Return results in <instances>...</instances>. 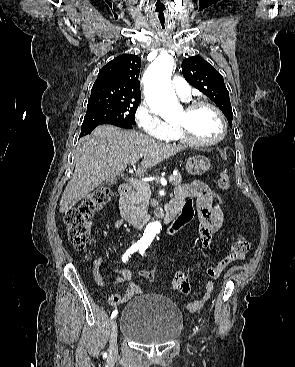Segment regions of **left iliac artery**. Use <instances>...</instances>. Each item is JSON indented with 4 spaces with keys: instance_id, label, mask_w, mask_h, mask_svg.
Wrapping results in <instances>:
<instances>
[{
    "instance_id": "obj_1",
    "label": "left iliac artery",
    "mask_w": 295,
    "mask_h": 367,
    "mask_svg": "<svg viewBox=\"0 0 295 367\" xmlns=\"http://www.w3.org/2000/svg\"><path fill=\"white\" fill-rule=\"evenodd\" d=\"M147 249V247H141L140 249H139V253H140V255H142V256H144L145 255V250Z\"/></svg>"
}]
</instances>
